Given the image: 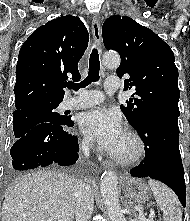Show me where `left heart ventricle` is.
Returning a JSON list of instances; mask_svg holds the SVG:
<instances>
[{"mask_svg":"<svg viewBox=\"0 0 190 221\" xmlns=\"http://www.w3.org/2000/svg\"><path fill=\"white\" fill-rule=\"evenodd\" d=\"M109 151L120 157H129L135 151V143L132 138L124 131L121 138Z\"/></svg>","mask_w":190,"mask_h":221,"instance_id":"b2bd125f","label":"left heart ventricle"}]
</instances>
